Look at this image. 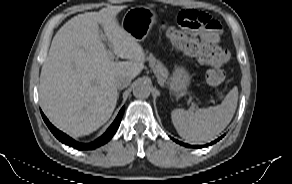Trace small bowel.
Returning a JSON list of instances; mask_svg holds the SVG:
<instances>
[{
	"mask_svg": "<svg viewBox=\"0 0 292 184\" xmlns=\"http://www.w3.org/2000/svg\"><path fill=\"white\" fill-rule=\"evenodd\" d=\"M220 33H221V28L217 30L202 28L198 32H196V34L199 35L202 39L211 43L219 42Z\"/></svg>",
	"mask_w": 292,
	"mask_h": 184,
	"instance_id": "c3829d8e",
	"label": "small bowel"
}]
</instances>
